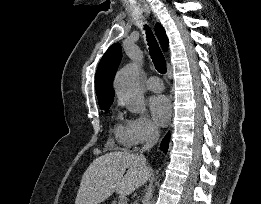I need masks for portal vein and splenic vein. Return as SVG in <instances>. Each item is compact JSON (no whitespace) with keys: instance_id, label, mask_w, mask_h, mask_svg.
Segmentation results:
<instances>
[{"instance_id":"1","label":"portal vein and splenic vein","mask_w":261,"mask_h":204,"mask_svg":"<svg viewBox=\"0 0 261 204\" xmlns=\"http://www.w3.org/2000/svg\"><path fill=\"white\" fill-rule=\"evenodd\" d=\"M118 204H127V202L125 200H121L118 202Z\"/></svg>"}]
</instances>
